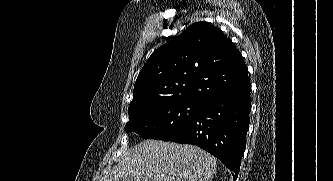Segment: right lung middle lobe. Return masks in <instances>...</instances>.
Segmentation results:
<instances>
[{
  "label": "right lung middle lobe",
  "mask_w": 333,
  "mask_h": 181,
  "mask_svg": "<svg viewBox=\"0 0 333 181\" xmlns=\"http://www.w3.org/2000/svg\"><path fill=\"white\" fill-rule=\"evenodd\" d=\"M202 103L189 100L163 101L129 113L126 132L143 139L167 141L181 132L196 116Z\"/></svg>",
  "instance_id": "dd1d6c3e"
}]
</instances>
